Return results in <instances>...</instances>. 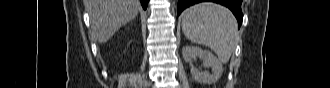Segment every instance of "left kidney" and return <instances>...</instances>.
Listing matches in <instances>:
<instances>
[{"label": "left kidney", "instance_id": "1", "mask_svg": "<svg viewBox=\"0 0 330 88\" xmlns=\"http://www.w3.org/2000/svg\"><path fill=\"white\" fill-rule=\"evenodd\" d=\"M183 58L186 62H191L192 59L199 57L203 61L204 67H210L212 74L207 71H199L196 68H191V74L195 81L203 84L215 83L222 75V63L210 52L195 46H186L182 50Z\"/></svg>", "mask_w": 330, "mask_h": 88}]
</instances>
